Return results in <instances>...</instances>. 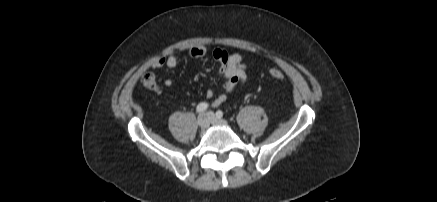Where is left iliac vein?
I'll use <instances>...</instances> for the list:
<instances>
[{"label":"left iliac vein","instance_id":"1","mask_svg":"<svg viewBox=\"0 0 437 202\" xmlns=\"http://www.w3.org/2000/svg\"><path fill=\"white\" fill-rule=\"evenodd\" d=\"M207 116L209 117L210 122H211L213 125H222V126H226V125H228V123H227L225 120L216 117L215 114H214L213 112H208V113H207Z\"/></svg>","mask_w":437,"mask_h":202}]
</instances>
